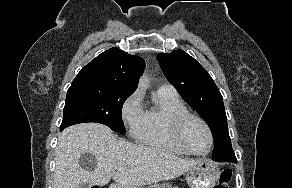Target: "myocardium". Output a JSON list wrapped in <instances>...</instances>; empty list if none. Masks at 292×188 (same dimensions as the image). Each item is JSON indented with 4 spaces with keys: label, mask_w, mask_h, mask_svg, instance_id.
Listing matches in <instances>:
<instances>
[{
    "label": "myocardium",
    "mask_w": 292,
    "mask_h": 188,
    "mask_svg": "<svg viewBox=\"0 0 292 188\" xmlns=\"http://www.w3.org/2000/svg\"><path fill=\"white\" fill-rule=\"evenodd\" d=\"M190 120H197L200 123H202V125L205 127V129L208 133L209 147H208L207 151H205L203 153H199V152H195V151L191 150L184 141L183 130H184L185 125ZM171 131H172V136H173L175 142L178 144V146L183 151H185L188 154L195 155V156H206L211 152V150L213 148L214 137H213L212 130H211L208 122L199 115L187 112V113H183V114L176 116L171 123Z\"/></svg>",
    "instance_id": "f54148a6"
}]
</instances>
